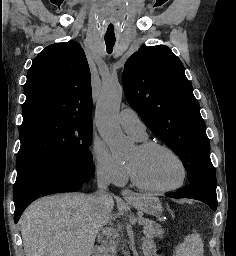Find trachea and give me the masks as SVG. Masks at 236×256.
Listing matches in <instances>:
<instances>
[{
  "mask_svg": "<svg viewBox=\"0 0 236 256\" xmlns=\"http://www.w3.org/2000/svg\"><path fill=\"white\" fill-rule=\"evenodd\" d=\"M105 43H106V47H107V52L111 53L113 50V46L115 44V39L105 38Z\"/></svg>",
  "mask_w": 236,
  "mask_h": 256,
  "instance_id": "1",
  "label": "trachea"
}]
</instances>
